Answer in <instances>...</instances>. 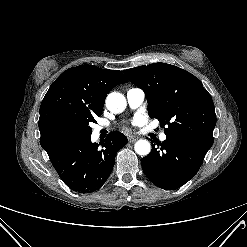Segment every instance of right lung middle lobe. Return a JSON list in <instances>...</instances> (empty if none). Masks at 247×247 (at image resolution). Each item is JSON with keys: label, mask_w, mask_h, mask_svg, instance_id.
Instances as JSON below:
<instances>
[{"label": "right lung middle lobe", "mask_w": 247, "mask_h": 247, "mask_svg": "<svg viewBox=\"0 0 247 247\" xmlns=\"http://www.w3.org/2000/svg\"><path fill=\"white\" fill-rule=\"evenodd\" d=\"M94 117L95 116L93 115L84 116L77 120L61 123L57 129L59 139L66 143L74 139L90 136L92 128L89 126V124L91 122H96Z\"/></svg>", "instance_id": "obj_1"}]
</instances>
